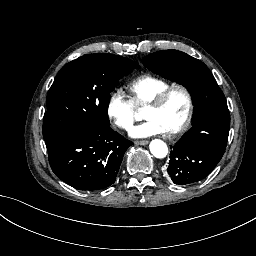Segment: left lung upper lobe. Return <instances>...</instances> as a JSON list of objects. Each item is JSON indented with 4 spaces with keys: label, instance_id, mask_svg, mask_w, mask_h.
Here are the masks:
<instances>
[{
    "label": "left lung upper lobe",
    "instance_id": "obj_1",
    "mask_svg": "<svg viewBox=\"0 0 256 256\" xmlns=\"http://www.w3.org/2000/svg\"><path fill=\"white\" fill-rule=\"evenodd\" d=\"M142 62L186 87L195 106L193 128L173 147L167 171L209 175L224 154L230 127L227 102L212 73L203 62L177 50L151 53Z\"/></svg>",
    "mask_w": 256,
    "mask_h": 256
}]
</instances>
